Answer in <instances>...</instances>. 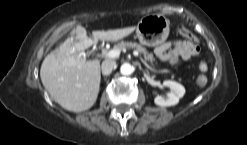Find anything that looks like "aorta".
Instances as JSON below:
<instances>
[{
  "mask_svg": "<svg viewBox=\"0 0 247 145\" xmlns=\"http://www.w3.org/2000/svg\"><path fill=\"white\" fill-rule=\"evenodd\" d=\"M120 72L123 75H130L133 72V67L129 63H124L121 65Z\"/></svg>",
  "mask_w": 247,
  "mask_h": 145,
  "instance_id": "obj_1",
  "label": "aorta"
}]
</instances>
